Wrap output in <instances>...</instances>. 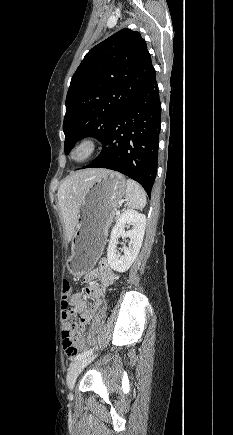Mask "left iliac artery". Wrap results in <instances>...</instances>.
Here are the masks:
<instances>
[{
  "label": "left iliac artery",
  "instance_id": "44dca946",
  "mask_svg": "<svg viewBox=\"0 0 233 435\" xmlns=\"http://www.w3.org/2000/svg\"><path fill=\"white\" fill-rule=\"evenodd\" d=\"M93 350H94V348H91L90 350H87V351H84V352L78 354V355L74 358V360H78V359H81V358L86 357V356H88V355H91L92 352H93Z\"/></svg>",
  "mask_w": 233,
  "mask_h": 435
}]
</instances>
